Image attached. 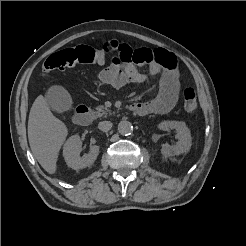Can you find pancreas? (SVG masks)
Returning <instances> with one entry per match:
<instances>
[{
  "label": "pancreas",
  "instance_id": "pancreas-1",
  "mask_svg": "<svg viewBox=\"0 0 246 246\" xmlns=\"http://www.w3.org/2000/svg\"><path fill=\"white\" fill-rule=\"evenodd\" d=\"M111 114V111L107 107L100 105L96 108V111L94 112V118L97 119L101 117H106L107 115Z\"/></svg>",
  "mask_w": 246,
  "mask_h": 246
}]
</instances>
